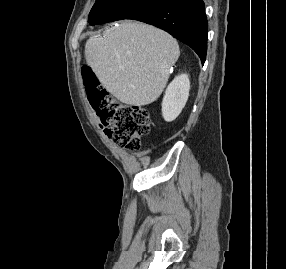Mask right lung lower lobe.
I'll return each instance as SVG.
<instances>
[{
  "mask_svg": "<svg viewBox=\"0 0 286 269\" xmlns=\"http://www.w3.org/2000/svg\"><path fill=\"white\" fill-rule=\"evenodd\" d=\"M128 19L142 21L165 30L190 46L204 64L208 22L202 0H155Z\"/></svg>",
  "mask_w": 286,
  "mask_h": 269,
  "instance_id": "98d812e1",
  "label": "right lung lower lobe"
}]
</instances>
